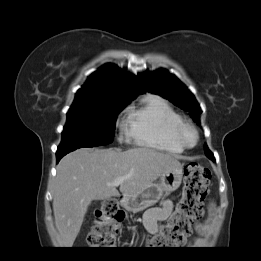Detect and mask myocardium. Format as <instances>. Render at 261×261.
Instances as JSON below:
<instances>
[{
	"mask_svg": "<svg viewBox=\"0 0 261 261\" xmlns=\"http://www.w3.org/2000/svg\"><path fill=\"white\" fill-rule=\"evenodd\" d=\"M192 136V141L189 139ZM176 137L184 148H193L199 141V134L196 127L187 121H182L176 131Z\"/></svg>",
	"mask_w": 261,
	"mask_h": 261,
	"instance_id": "f54148a6",
	"label": "myocardium"
}]
</instances>
